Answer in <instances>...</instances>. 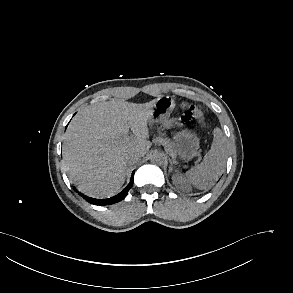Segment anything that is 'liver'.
I'll use <instances>...</instances> for the list:
<instances>
[{"label": "liver", "instance_id": "obj_1", "mask_svg": "<svg viewBox=\"0 0 293 293\" xmlns=\"http://www.w3.org/2000/svg\"><path fill=\"white\" fill-rule=\"evenodd\" d=\"M157 99L143 104L122 100L80 110L63 143V161L72 183L94 197L115 195L125 181L130 152L144 156L151 147L148 120ZM129 128L134 138L124 140Z\"/></svg>", "mask_w": 293, "mask_h": 293}]
</instances>
